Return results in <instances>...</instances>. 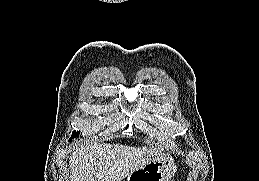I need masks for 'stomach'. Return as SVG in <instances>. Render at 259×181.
Instances as JSON below:
<instances>
[{"instance_id":"0dacf381","label":"stomach","mask_w":259,"mask_h":181,"mask_svg":"<svg viewBox=\"0 0 259 181\" xmlns=\"http://www.w3.org/2000/svg\"><path fill=\"white\" fill-rule=\"evenodd\" d=\"M175 164L168 155H160L127 176V181H170Z\"/></svg>"}]
</instances>
